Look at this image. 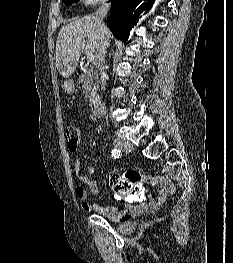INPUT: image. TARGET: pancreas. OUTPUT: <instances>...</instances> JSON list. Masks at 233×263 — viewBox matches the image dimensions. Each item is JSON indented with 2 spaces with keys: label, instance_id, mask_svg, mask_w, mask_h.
Masks as SVG:
<instances>
[{
  "label": "pancreas",
  "instance_id": "pancreas-1",
  "mask_svg": "<svg viewBox=\"0 0 233 263\" xmlns=\"http://www.w3.org/2000/svg\"><path fill=\"white\" fill-rule=\"evenodd\" d=\"M84 74L80 76V83L84 88L83 94L92 103L98 97V78L97 70L94 67H88L85 65L83 68Z\"/></svg>",
  "mask_w": 233,
  "mask_h": 263
}]
</instances>
